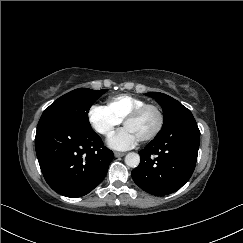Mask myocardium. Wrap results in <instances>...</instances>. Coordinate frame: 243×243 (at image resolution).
I'll list each match as a JSON object with an SVG mask.
<instances>
[{
	"mask_svg": "<svg viewBox=\"0 0 243 243\" xmlns=\"http://www.w3.org/2000/svg\"><path fill=\"white\" fill-rule=\"evenodd\" d=\"M149 109H152V110L155 111V113L157 114L158 122H157V125H156L155 129L148 136H146L145 138L139 140V142L142 143V144H145L147 142L152 141L154 138H156L159 135V133L163 129V126H164V113H163L161 107L156 105V104H145V105L137 107L136 109L131 111L123 119V124L125 125L129 121L137 119L145 111H147Z\"/></svg>",
	"mask_w": 243,
	"mask_h": 243,
	"instance_id": "obj_1",
	"label": "myocardium"
}]
</instances>
